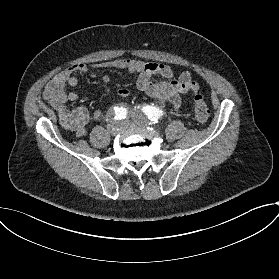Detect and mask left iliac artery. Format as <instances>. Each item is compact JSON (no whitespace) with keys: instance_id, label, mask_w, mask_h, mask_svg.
Wrapping results in <instances>:
<instances>
[{"instance_id":"1","label":"left iliac artery","mask_w":279,"mask_h":279,"mask_svg":"<svg viewBox=\"0 0 279 279\" xmlns=\"http://www.w3.org/2000/svg\"><path fill=\"white\" fill-rule=\"evenodd\" d=\"M146 114L153 123H157L160 116L163 115L162 110L156 109L155 107H148Z\"/></svg>"}]
</instances>
